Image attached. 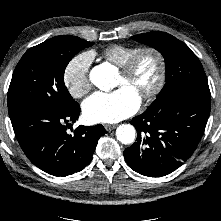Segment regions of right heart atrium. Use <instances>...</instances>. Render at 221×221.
<instances>
[{"mask_svg":"<svg viewBox=\"0 0 221 221\" xmlns=\"http://www.w3.org/2000/svg\"><path fill=\"white\" fill-rule=\"evenodd\" d=\"M93 59L90 52H84L73 57L66 65L63 81L74 98H81L91 89L89 69Z\"/></svg>","mask_w":221,"mask_h":221,"instance_id":"obj_1","label":"right heart atrium"}]
</instances>
